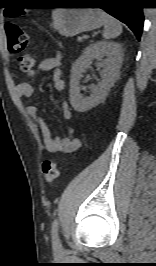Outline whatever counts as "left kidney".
Masks as SVG:
<instances>
[{
	"label": "left kidney",
	"instance_id": "left-kidney-1",
	"mask_svg": "<svg viewBox=\"0 0 156 266\" xmlns=\"http://www.w3.org/2000/svg\"><path fill=\"white\" fill-rule=\"evenodd\" d=\"M102 66L104 74L101 82L93 90L90 96L80 93L79 81L82 73L90 67L96 58H104ZM123 51L120 44L115 42L99 41L88 46L82 55L74 62L70 79V103L75 111H87L101 103L110 88L114 85L122 65Z\"/></svg>",
	"mask_w": 156,
	"mask_h": 266
}]
</instances>
